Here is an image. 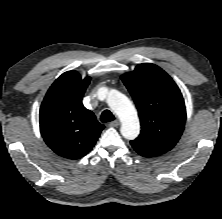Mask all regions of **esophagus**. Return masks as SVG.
<instances>
[{
	"mask_svg": "<svg viewBox=\"0 0 222 219\" xmlns=\"http://www.w3.org/2000/svg\"><path fill=\"white\" fill-rule=\"evenodd\" d=\"M119 124H120V122H119L118 120H115V121H112V122L109 124V126H110V127H117V126H119Z\"/></svg>",
	"mask_w": 222,
	"mask_h": 219,
	"instance_id": "1",
	"label": "esophagus"
}]
</instances>
